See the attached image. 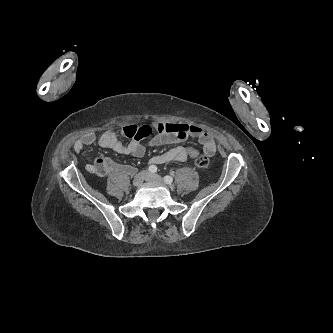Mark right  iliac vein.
<instances>
[{"mask_svg":"<svg viewBox=\"0 0 333 333\" xmlns=\"http://www.w3.org/2000/svg\"><path fill=\"white\" fill-rule=\"evenodd\" d=\"M146 176H147L146 171H142V172L138 173L133 179V185L135 187L141 186L143 184L144 180H146Z\"/></svg>","mask_w":333,"mask_h":333,"instance_id":"obj_1","label":"right iliac vein"}]
</instances>
